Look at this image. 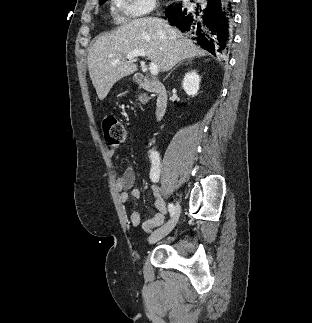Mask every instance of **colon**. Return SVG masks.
<instances>
[{"label": "colon", "instance_id": "5ec220e1", "mask_svg": "<svg viewBox=\"0 0 312 323\" xmlns=\"http://www.w3.org/2000/svg\"><path fill=\"white\" fill-rule=\"evenodd\" d=\"M139 101L144 102L145 98L141 96ZM102 130L104 139L109 145H118L122 143L127 135V129L123 122L112 115L107 116L102 120Z\"/></svg>", "mask_w": 312, "mask_h": 323}]
</instances>
